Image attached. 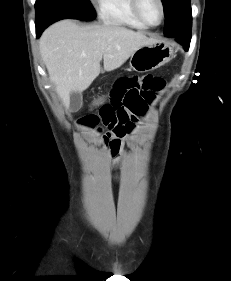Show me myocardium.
<instances>
[{"label":"myocardium","instance_id":"myocardium-1","mask_svg":"<svg viewBox=\"0 0 231 281\" xmlns=\"http://www.w3.org/2000/svg\"><path fill=\"white\" fill-rule=\"evenodd\" d=\"M157 2L160 5L161 8V19L157 24H151L150 22L147 21V19L145 18V16L142 13L141 10V0H132V6H133V10L136 14V16L139 18V20L145 24L147 27H157L159 25H161L165 19V5L163 0H157Z\"/></svg>","mask_w":231,"mask_h":281}]
</instances>
